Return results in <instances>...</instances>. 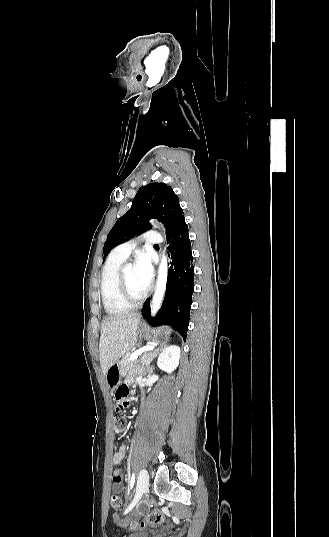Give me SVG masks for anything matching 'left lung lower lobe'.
Here are the masks:
<instances>
[{
  "instance_id": "obj_1",
  "label": "left lung lower lobe",
  "mask_w": 329,
  "mask_h": 537,
  "mask_svg": "<svg viewBox=\"0 0 329 537\" xmlns=\"http://www.w3.org/2000/svg\"><path fill=\"white\" fill-rule=\"evenodd\" d=\"M168 242L171 262L163 304L154 318L150 316L149 302L144 304V312L151 324L170 325L186 339L194 292V266L188 226L185 222Z\"/></svg>"
}]
</instances>
